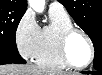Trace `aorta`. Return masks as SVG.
<instances>
[{"label": "aorta", "mask_w": 102, "mask_h": 75, "mask_svg": "<svg viewBox=\"0 0 102 75\" xmlns=\"http://www.w3.org/2000/svg\"><path fill=\"white\" fill-rule=\"evenodd\" d=\"M30 7L38 13L43 12L45 7V0H29Z\"/></svg>", "instance_id": "762f6f07"}]
</instances>
